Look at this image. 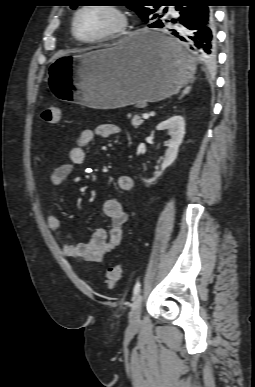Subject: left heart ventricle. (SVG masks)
Masks as SVG:
<instances>
[{"label":"left heart ventricle","mask_w":255,"mask_h":387,"mask_svg":"<svg viewBox=\"0 0 255 387\" xmlns=\"http://www.w3.org/2000/svg\"><path fill=\"white\" fill-rule=\"evenodd\" d=\"M117 24L114 14L99 8L83 11L77 19V31L83 38H94L111 30Z\"/></svg>","instance_id":"1"}]
</instances>
